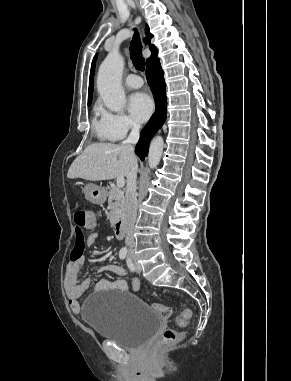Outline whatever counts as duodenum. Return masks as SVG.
<instances>
[{
  "mask_svg": "<svg viewBox=\"0 0 291 381\" xmlns=\"http://www.w3.org/2000/svg\"><path fill=\"white\" fill-rule=\"evenodd\" d=\"M126 220L124 216H121L115 223L114 231L115 235L119 240H122L125 237L126 234Z\"/></svg>",
  "mask_w": 291,
  "mask_h": 381,
  "instance_id": "duodenum-1",
  "label": "duodenum"
}]
</instances>
